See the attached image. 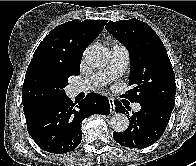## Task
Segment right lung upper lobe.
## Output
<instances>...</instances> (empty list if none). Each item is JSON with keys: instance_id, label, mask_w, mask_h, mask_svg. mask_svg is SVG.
<instances>
[{"instance_id": "right-lung-upper-lobe-1", "label": "right lung upper lobe", "mask_w": 196, "mask_h": 166, "mask_svg": "<svg viewBox=\"0 0 196 166\" xmlns=\"http://www.w3.org/2000/svg\"><path fill=\"white\" fill-rule=\"evenodd\" d=\"M106 22L73 20L55 27L37 47L26 75L36 67L68 77L79 74L83 52L101 33Z\"/></svg>"}]
</instances>
